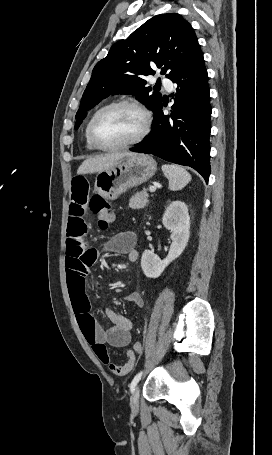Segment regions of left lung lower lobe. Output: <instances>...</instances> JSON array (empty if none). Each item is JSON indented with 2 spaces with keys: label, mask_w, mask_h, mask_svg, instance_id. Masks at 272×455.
<instances>
[{
  "label": "left lung lower lobe",
  "mask_w": 272,
  "mask_h": 455,
  "mask_svg": "<svg viewBox=\"0 0 272 455\" xmlns=\"http://www.w3.org/2000/svg\"><path fill=\"white\" fill-rule=\"evenodd\" d=\"M177 84L172 114L164 115V102L154 110L152 132L131 151L149 153L210 175L211 106L203 55L169 78Z\"/></svg>",
  "instance_id": "left-lung-lower-lobe-1"
}]
</instances>
